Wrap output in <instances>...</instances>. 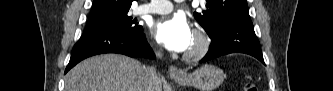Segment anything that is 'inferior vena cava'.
Listing matches in <instances>:
<instances>
[{"mask_svg":"<svg viewBox=\"0 0 333 91\" xmlns=\"http://www.w3.org/2000/svg\"><path fill=\"white\" fill-rule=\"evenodd\" d=\"M156 56H157V58H161L162 57V52L159 50L158 52H156ZM145 73H146V83H147V86H148V91H153L154 90L153 85L158 80L156 67L155 66L146 67Z\"/></svg>","mask_w":333,"mask_h":91,"instance_id":"602c4592","label":"inferior vena cava"}]
</instances>
